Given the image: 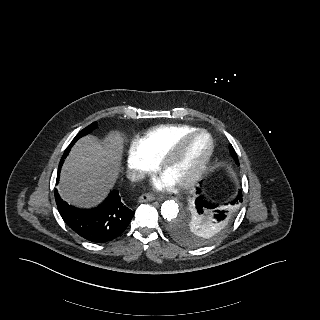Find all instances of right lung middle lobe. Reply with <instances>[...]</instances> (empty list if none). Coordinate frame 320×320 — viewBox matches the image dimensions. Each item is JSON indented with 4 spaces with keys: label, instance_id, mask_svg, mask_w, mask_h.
<instances>
[{
    "label": "right lung middle lobe",
    "instance_id": "1",
    "mask_svg": "<svg viewBox=\"0 0 320 320\" xmlns=\"http://www.w3.org/2000/svg\"><path fill=\"white\" fill-rule=\"evenodd\" d=\"M96 127V122H93L92 124H90L89 126H87L86 128H84L81 132H79L76 137L73 139V141L71 142V144L68 146V148L66 149L64 155L61 158L60 164H59V168H61L63 162H64V158H66L67 154L69 153L71 147L74 145V143L81 137L89 134L91 131H93Z\"/></svg>",
    "mask_w": 320,
    "mask_h": 320
}]
</instances>
